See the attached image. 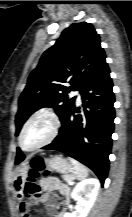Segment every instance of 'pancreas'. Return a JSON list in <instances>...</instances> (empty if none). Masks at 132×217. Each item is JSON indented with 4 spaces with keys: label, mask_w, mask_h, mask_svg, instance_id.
<instances>
[{
    "label": "pancreas",
    "mask_w": 132,
    "mask_h": 217,
    "mask_svg": "<svg viewBox=\"0 0 132 217\" xmlns=\"http://www.w3.org/2000/svg\"><path fill=\"white\" fill-rule=\"evenodd\" d=\"M75 179L74 175L67 174L63 176V180L67 183L72 182Z\"/></svg>",
    "instance_id": "1"
}]
</instances>
